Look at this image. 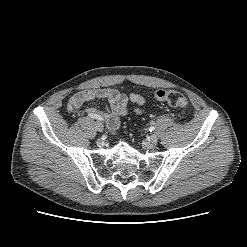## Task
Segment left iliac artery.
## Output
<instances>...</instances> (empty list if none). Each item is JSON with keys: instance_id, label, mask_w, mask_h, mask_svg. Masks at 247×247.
I'll return each instance as SVG.
<instances>
[{"instance_id": "left-iliac-artery-1", "label": "left iliac artery", "mask_w": 247, "mask_h": 247, "mask_svg": "<svg viewBox=\"0 0 247 247\" xmlns=\"http://www.w3.org/2000/svg\"><path fill=\"white\" fill-rule=\"evenodd\" d=\"M154 130H155L154 126L149 127V131H154Z\"/></svg>"}]
</instances>
